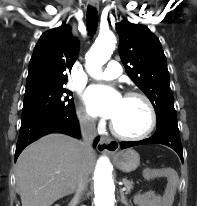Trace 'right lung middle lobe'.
I'll use <instances>...</instances> for the list:
<instances>
[{"instance_id": "right-lung-middle-lobe-1", "label": "right lung middle lobe", "mask_w": 197, "mask_h": 206, "mask_svg": "<svg viewBox=\"0 0 197 206\" xmlns=\"http://www.w3.org/2000/svg\"><path fill=\"white\" fill-rule=\"evenodd\" d=\"M71 95L72 93L63 85L26 89L21 123L43 116L74 112V101L69 98Z\"/></svg>"}]
</instances>
